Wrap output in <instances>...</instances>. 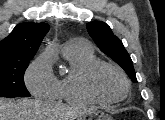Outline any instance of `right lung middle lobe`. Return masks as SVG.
Segmentation results:
<instances>
[{
	"instance_id": "right-lung-middle-lobe-1",
	"label": "right lung middle lobe",
	"mask_w": 165,
	"mask_h": 120,
	"mask_svg": "<svg viewBox=\"0 0 165 120\" xmlns=\"http://www.w3.org/2000/svg\"><path fill=\"white\" fill-rule=\"evenodd\" d=\"M29 62L30 59L0 61V96L8 98L30 96L23 79Z\"/></svg>"
}]
</instances>
